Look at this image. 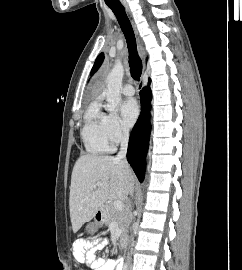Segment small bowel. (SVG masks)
<instances>
[{"instance_id":"c3829d8e","label":"small bowel","mask_w":242,"mask_h":270,"mask_svg":"<svg viewBox=\"0 0 242 270\" xmlns=\"http://www.w3.org/2000/svg\"><path fill=\"white\" fill-rule=\"evenodd\" d=\"M108 244L106 239L93 241H78L74 244V256L89 264L94 270H120L113 261L97 257L96 253Z\"/></svg>"}]
</instances>
